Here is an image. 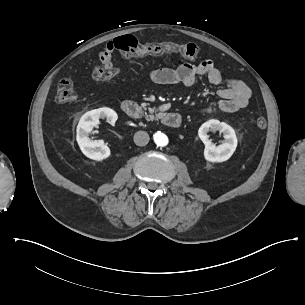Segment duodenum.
Segmentation results:
<instances>
[{
	"mask_svg": "<svg viewBox=\"0 0 305 305\" xmlns=\"http://www.w3.org/2000/svg\"><path fill=\"white\" fill-rule=\"evenodd\" d=\"M121 108L123 113L130 118L140 119L144 116L143 109L135 101H124ZM161 121L168 128H178L181 124V117L178 113L166 112L162 115Z\"/></svg>",
	"mask_w": 305,
	"mask_h": 305,
	"instance_id": "obj_1",
	"label": "duodenum"
}]
</instances>
